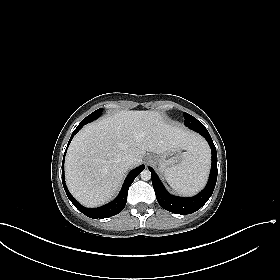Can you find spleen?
<instances>
[{"label": "spleen", "instance_id": "obj_1", "mask_svg": "<svg viewBox=\"0 0 280 280\" xmlns=\"http://www.w3.org/2000/svg\"><path fill=\"white\" fill-rule=\"evenodd\" d=\"M210 169V152L202 147L195 152H186L184 160L165 172V179L177 193L193 195L206 184Z\"/></svg>", "mask_w": 280, "mask_h": 280}]
</instances>
